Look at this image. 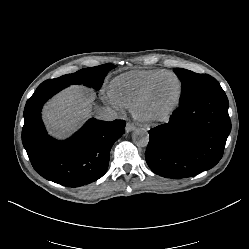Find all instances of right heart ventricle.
I'll return each mask as SVG.
<instances>
[{"mask_svg":"<svg viewBox=\"0 0 249 249\" xmlns=\"http://www.w3.org/2000/svg\"><path fill=\"white\" fill-rule=\"evenodd\" d=\"M166 69H136L114 77L108 85L110 97L130 107L145 86L155 77L166 73Z\"/></svg>","mask_w":249,"mask_h":249,"instance_id":"e07e8e85","label":"right heart ventricle"}]
</instances>
